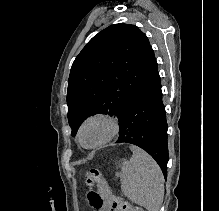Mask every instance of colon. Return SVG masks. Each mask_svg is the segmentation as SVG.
<instances>
[{
    "label": "colon",
    "instance_id": "1",
    "mask_svg": "<svg viewBox=\"0 0 219 211\" xmlns=\"http://www.w3.org/2000/svg\"><path fill=\"white\" fill-rule=\"evenodd\" d=\"M86 184L89 187H97L99 197L107 202L112 211H143L141 208L133 206L122 197L114 195L109 183L103 178L98 169H90L86 172Z\"/></svg>",
    "mask_w": 219,
    "mask_h": 211
}]
</instances>
